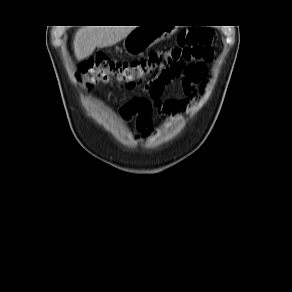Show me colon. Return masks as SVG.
<instances>
[{"label":"colon","mask_w":292,"mask_h":292,"mask_svg":"<svg viewBox=\"0 0 292 292\" xmlns=\"http://www.w3.org/2000/svg\"><path fill=\"white\" fill-rule=\"evenodd\" d=\"M214 41L211 29L189 28L179 34L176 46L152 51L140 59L117 61L106 55L92 57L79 66L77 80L86 90L98 83H114L126 89L144 85L149 98L133 99L123 112L126 116H136L141 126H148L159 90L173 78L185 75L195 61L206 58Z\"/></svg>","instance_id":"5ec220e1"}]
</instances>
